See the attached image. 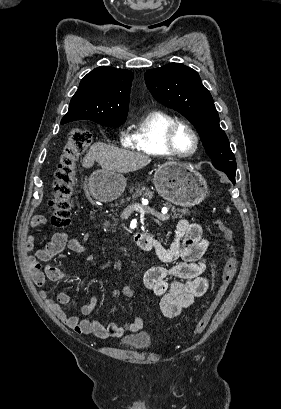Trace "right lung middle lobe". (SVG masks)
<instances>
[{
	"label": "right lung middle lobe",
	"mask_w": 281,
	"mask_h": 409,
	"mask_svg": "<svg viewBox=\"0 0 281 409\" xmlns=\"http://www.w3.org/2000/svg\"><path fill=\"white\" fill-rule=\"evenodd\" d=\"M125 122L123 121H102V122H97L103 126H108V127H115V126H120Z\"/></svg>",
	"instance_id": "obj_1"
}]
</instances>
